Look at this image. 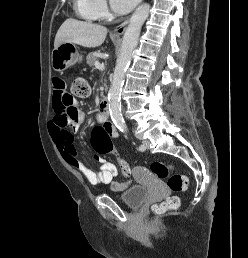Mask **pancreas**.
Here are the masks:
<instances>
[{
    "instance_id": "pancreas-1",
    "label": "pancreas",
    "mask_w": 248,
    "mask_h": 258,
    "mask_svg": "<svg viewBox=\"0 0 248 258\" xmlns=\"http://www.w3.org/2000/svg\"><path fill=\"white\" fill-rule=\"evenodd\" d=\"M86 60H87V64L90 66V67H93L95 68V62L98 61V58H97V55L96 53H89L86 57Z\"/></svg>"
}]
</instances>
